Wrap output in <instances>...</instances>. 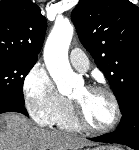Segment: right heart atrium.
<instances>
[{
	"mask_svg": "<svg viewBox=\"0 0 139 150\" xmlns=\"http://www.w3.org/2000/svg\"><path fill=\"white\" fill-rule=\"evenodd\" d=\"M25 107L40 126H50L67 103L56 89L47 71L36 64L25 76L23 81Z\"/></svg>",
	"mask_w": 139,
	"mask_h": 150,
	"instance_id": "d8ad5b80",
	"label": "right heart atrium"
}]
</instances>
